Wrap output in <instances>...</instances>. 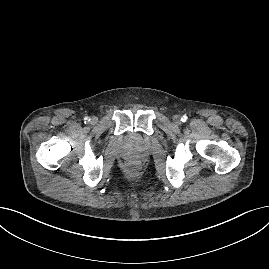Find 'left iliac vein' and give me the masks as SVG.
<instances>
[{"label": "left iliac vein", "instance_id": "obj_1", "mask_svg": "<svg viewBox=\"0 0 269 269\" xmlns=\"http://www.w3.org/2000/svg\"><path fill=\"white\" fill-rule=\"evenodd\" d=\"M173 121L176 123V124H180L181 123V118L179 115H175L173 117Z\"/></svg>", "mask_w": 269, "mask_h": 269}]
</instances>
